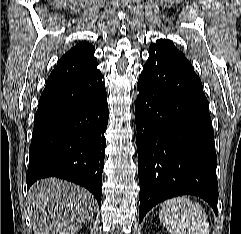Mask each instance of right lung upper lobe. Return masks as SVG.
Here are the masks:
<instances>
[{"label": "right lung upper lobe", "instance_id": "cb5924a9", "mask_svg": "<svg viewBox=\"0 0 241 234\" xmlns=\"http://www.w3.org/2000/svg\"><path fill=\"white\" fill-rule=\"evenodd\" d=\"M92 44L81 42L71 48L59 60L52 71L47 85L78 77L98 65Z\"/></svg>", "mask_w": 241, "mask_h": 234}]
</instances>
